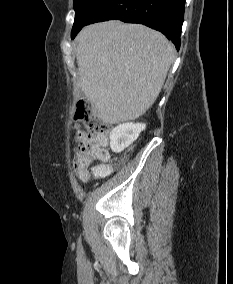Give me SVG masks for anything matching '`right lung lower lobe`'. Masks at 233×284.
Masks as SVG:
<instances>
[{
    "mask_svg": "<svg viewBox=\"0 0 233 284\" xmlns=\"http://www.w3.org/2000/svg\"><path fill=\"white\" fill-rule=\"evenodd\" d=\"M184 6L185 0H109L85 25L113 19L144 24L165 34L179 49Z\"/></svg>",
    "mask_w": 233,
    "mask_h": 284,
    "instance_id": "1",
    "label": "right lung lower lobe"
}]
</instances>
